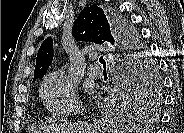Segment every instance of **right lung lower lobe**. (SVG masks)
I'll list each match as a JSON object with an SVG mask.
<instances>
[{"mask_svg": "<svg viewBox=\"0 0 184 133\" xmlns=\"http://www.w3.org/2000/svg\"><path fill=\"white\" fill-rule=\"evenodd\" d=\"M110 20L115 32V35L117 36V43H118V52L120 57V64H123V69L125 70L126 67L130 70V57H131V51L135 49V44L133 43V39L130 37L129 31L124 26V22L122 20V17H120L117 14L110 15ZM146 55V53H144ZM123 70V71H124ZM122 73L123 76L121 77V86H125L126 82L128 80L129 74ZM124 88V87H123ZM125 91V90H124Z\"/></svg>", "mask_w": 184, "mask_h": 133, "instance_id": "obj_1", "label": "right lung lower lobe"}]
</instances>
